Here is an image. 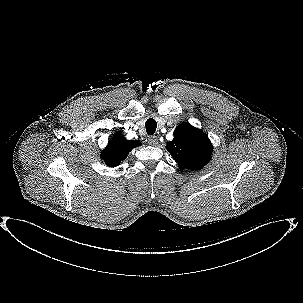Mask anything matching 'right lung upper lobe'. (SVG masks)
<instances>
[{"mask_svg":"<svg viewBox=\"0 0 303 303\" xmlns=\"http://www.w3.org/2000/svg\"><path fill=\"white\" fill-rule=\"evenodd\" d=\"M141 145L140 141L137 140H126L120 133L113 135L112 140L108 143L105 150L101 153V159L109 167H114L120 164L121 161L125 160L128 153L135 147Z\"/></svg>","mask_w":303,"mask_h":303,"instance_id":"1","label":"right lung upper lobe"}]
</instances>
